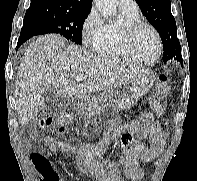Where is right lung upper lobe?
I'll return each instance as SVG.
<instances>
[{
	"instance_id": "right-lung-upper-lobe-1",
	"label": "right lung upper lobe",
	"mask_w": 197,
	"mask_h": 181,
	"mask_svg": "<svg viewBox=\"0 0 197 181\" xmlns=\"http://www.w3.org/2000/svg\"><path fill=\"white\" fill-rule=\"evenodd\" d=\"M92 0H31L28 10L51 9L68 12L90 11Z\"/></svg>"
}]
</instances>
